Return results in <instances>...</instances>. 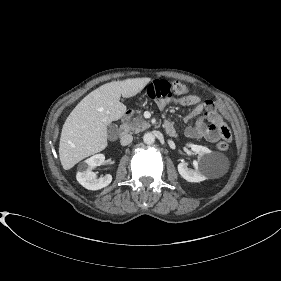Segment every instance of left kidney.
Returning a JSON list of instances; mask_svg holds the SVG:
<instances>
[{"mask_svg": "<svg viewBox=\"0 0 281 281\" xmlns=\"http://www.w3.org/2000/svg\"><path fill=\"white\" fill-rule=\"evenodd\" d=\"M188 146L198 154V160H193V169H189L187 163L182 162L178 164L179 174L188 182H201L206 180L210 173L211 167V151L204 146L196 144H188Z\"/></svg>", "mask_w": 281, "mask_h": 281, "instance_id": "5707ae66", "label": "left kidney"}]
</instances>
